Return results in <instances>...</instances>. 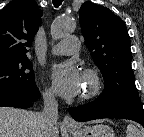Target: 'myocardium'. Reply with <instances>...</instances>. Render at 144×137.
Returning a JSON list of instances; mask_svg holds the SVG:
<instances>
[{
	"label": "myocardium",
	"instance_id": "obj_1",
	"mask_svg": "<svg viewBox=\"0 0 144 137\" xmlns=\"http://www.w3.org/2000/svg\"><path fill=\"white\" fill-rule=\"evenodd\" d=\"M84 79L88 81V87L80 95V100L86 101L96 97L102 87V81L99 73L92 69L86 68L83 72Z\"/></svg>",
	"mask_w": 144,
	"mask_h": 137
}]
</instances>
